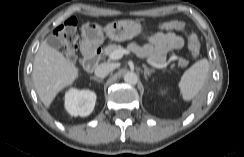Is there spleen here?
Wrapping results in <instances>:
<instances>
[{
	"label": "spleen",
	"mask_w": 244,
	"mask_h": 157,
	"mask_svg": "<svg viewBox=\"0 0 244 157\" xmlns=\"http://www.w3.org/2000/svg\"><path fill=\"white\" fill-rule=\"evenodd\" d=\"M209 70V61L203 58L195 62L182 75L178 88L185 101L193 99L202 89Z\"/></svg>",
	"instance_id": "spleen-1"
}]
</instances>
